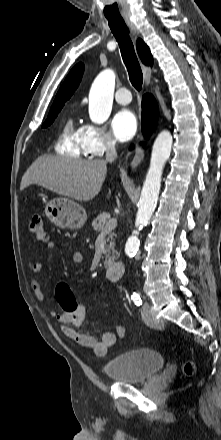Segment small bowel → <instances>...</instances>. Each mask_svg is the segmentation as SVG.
Wrapping results in <instances>:
<instances>
[{
  "instance_id": "small-bowel-1",
  "label": "small bowel",
  "mask_w": 221,
  "mask_h": 440,
  "mask_svg": "<svg viewBox=\"0 0 221 440\" xmlns=\"http://www.w3.org/2000/svg\"><path fill=\"white\" fill-rule=\"evenodd\" d=\"M47 248L49 250H52L55 248V244L53 242H50L47 245ZM72 261L75 264H80L83 261V254L79 251H76L72 256ZM42 268L43 265L40 261H36L32 264L31 272L33 276L31 278V288L36 298L41 302H45V294L43 292L40 282L36 278V275H38L42 271ZM104 287L105 285L103 284L99 286V288ZM79 303L81 309L78 312L74 311L73 315H62V313L58 312L57 310H51V316L56 318L60 322L61 331L66 337L77 342L82 347L92 350L98 356H105L108 353L109 349L116 342V333L112 331H106L102 333L100 337H95L88 333L78 332L75 327L78 328L82 326L86 315L85 303L83 301H79Z\"/></svg>"
}]
</instances>
